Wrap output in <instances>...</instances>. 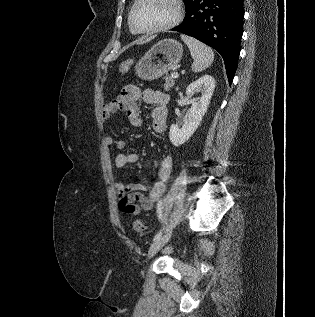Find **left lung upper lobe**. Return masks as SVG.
Returning <instances> with one entry per match:
<instances>
[{"mask_svg":"<svg viewBox=\"0 0 315 317\" xmlns=\"http://www.w3.org/2000/svg\"><path fill=\"white\" fill-rule=\"evenodd\" d=\"M185 3V7L188 8L189 4L193 1V0H183Z\"/></svg>","mask_w":315,"mask_h":317,"instance_id":"left-lung-upper-lobe-1","label":"left lung upper lobe"}]
</instances>
